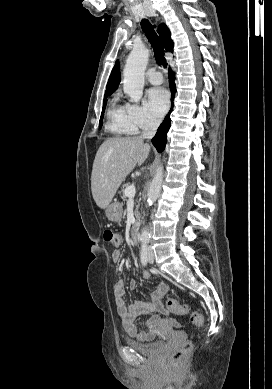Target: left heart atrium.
<instances>
[{
	"label": "left heart atrium",
	"instance_id": "left-heart-atrium-1",
	"mask_svg": "<svg viewBox=\"0 0 272 389\" xmlns=\"http://www.w3.org/2000/svg\"><path fill=\"white\" fill-rule=\"evenodd\" d=\"M146 105L155 117H161L169 105L167 91L160 87L149 89L146 93Z\"/></svg>",
	"mask_w": 272,
	"mask_h": 389
}]
</instances>
